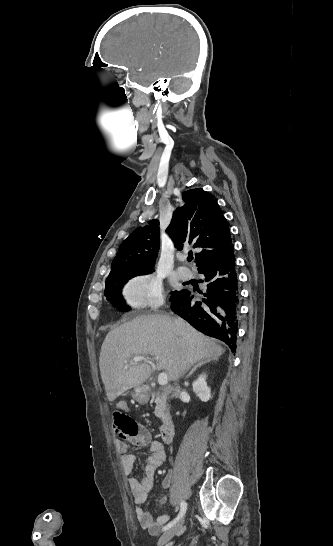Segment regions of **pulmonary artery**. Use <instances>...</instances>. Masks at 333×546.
Listing matches in <instances>:
<instances>
[{"label": "pulmonary artery", "instance_id": "pulmonary-artery-1", "mask_svg": "<svg viewBox=\"0 0 333 546\" xmlns=\"http://www.w3.org/2000/svg\"><path fill=\"white\" fill-rule=\"evenodd\" d=\"M177 274L179 278H181L182 280H189L193 276V272L188 267H185V266H179L177 268Z\"/></svg>", "mask_w": 333, "mask_h": 546}]
</instances>
